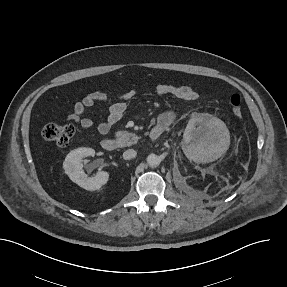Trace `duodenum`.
I'll return each mask as SVG.
<instances>
[{
  "mask_svg": "<svg viewBox=\"0 0 287 287\" xmlns=\"http://www.w3.org/2000/svg\"><path fill=\"white\" fill-rule=\"evenodd\" d=\"M163 132L164 128L162 126L153 127L149 132V136L151 139H158ZM101 146L106 151H114L118 148L119 142L114 138H105L102 140Z\"/></svg>",
  "mask_w": 287,
  "mask_h": 287,
  "instance_id": "410a0bca",
  "label": "duodenum"
}]
</instances>
